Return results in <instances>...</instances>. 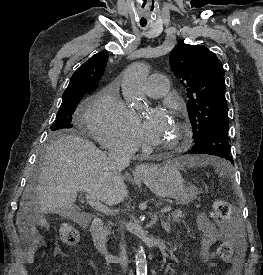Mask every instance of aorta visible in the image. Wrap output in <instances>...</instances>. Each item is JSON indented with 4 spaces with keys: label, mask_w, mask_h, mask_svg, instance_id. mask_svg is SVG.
I'll use <instances>...</instances> for the list:
<instances>
[{
    "label": "aorta",
    "mask_w": 263,
    "mask_h": 275,
    "mask_svg": "<svg viewBox=\"0 0 263 275\" xmlns=\"http://www.w3.org/2000/svg\"><path fill=\"white\" fill-rule=\"evenodd\" d=\"M148 75V66L143 63H134L127 67L122 78V93L128 102H137L144 95V84ZM137 275L147 274V260L145 249L140 244L135 254Z\"/></svg>",
    "instance_id": "obj_1"
}]
</instances>
